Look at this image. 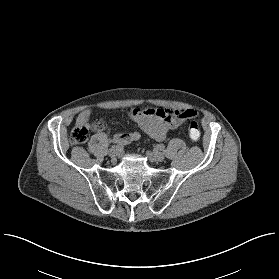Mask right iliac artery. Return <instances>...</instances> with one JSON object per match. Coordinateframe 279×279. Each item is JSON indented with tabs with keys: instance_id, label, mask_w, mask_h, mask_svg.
I'll list each match as a JSON object with an SVG mask.
<instances>
[{
	"instance_id": "right-iliac-artery-1",
	"label": "right iliac artery",
	"mask_w": 279,
	"mask_h": 279,
	"mask_svg": "<svg viewBox=\"0 0 279 279\" xmlns=\"http://www.w3.org/2000/svg\"><path fill=\"white\" fill-rule=\"evenodd\" d=\"M114 147L118 150L120 149V146L118 144H115Z\"/></svg>"
}]
</instances>
